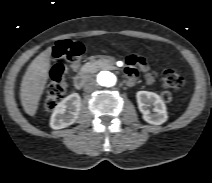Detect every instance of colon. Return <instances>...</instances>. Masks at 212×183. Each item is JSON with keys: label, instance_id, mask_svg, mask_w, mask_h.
<instances>
[{"label": "colon", "instance_id": "1", "mask_svg": "<svg viewBox=\"0 0 212 183\" xmlns=\"http://www.w3.org/2000/svg\"><path fill=\"white\" fill-rule=\"evenodd\" d=\"M84 48L78 42L62 40L56 43L53 49V55L57 59L64 60L65 63H57L51 73V83L48 86L47 94L44 98V108L52 111L67 89L66 78L69 73L75 71L82 59ZM183 77L173 69H166L162 73L163 89L160 90V96L163 101L169 102L172 94L168 89H177L183 85Z\"/></svg>", "mask_w": 212, "mask_h": 183}]
</instances>
